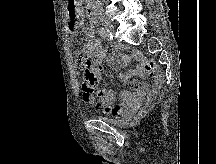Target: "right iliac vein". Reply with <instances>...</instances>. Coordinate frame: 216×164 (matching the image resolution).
Segmentation results:
<instances>
[{"label":"right iliac vein","mask_w":216,"mask_h":164,"mask_svg":"<svg viewBox=\"0 0 216 164\" xmlns=\"http://www.w3.org/2000/svg\"><path fill=\"white\" fill-rule=\"evenodd\" d=\"M100 21H101V23L104 26L106 31H108L110 33L114 31L113 24L108 19L102 18Z\"/></svg>","instance_id":"right-iliac-vein-1"}]
</instances>
